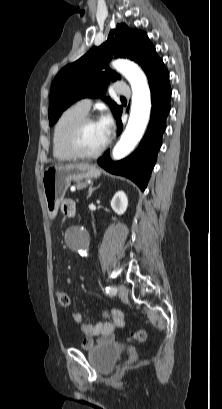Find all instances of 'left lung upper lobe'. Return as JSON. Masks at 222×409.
Returning <instances> with one entry per match:
<instances>
[{
  "label": "left lung upper lobe",
  "mask_w": 222,
  "mask_h": 409,
  "mask_svg": "<svg viewBox=\"0 0 222 409\" xmlns=\"http://www.w3.org/2000/svg\"><path fill=\"white\" fill-rule=\"evenodd\" d=\"M113 57L134 60L141 65L149 81L165 70L163 61L157 56L155 47L143 31L130 29L126 24H118L101 46L93 47L56 75L49 98L50 125L76 100L102 96L110 79L115 81L119 78V75L107 66ZM103 99L109 102L116 118L122 107L111 102L109 98Z\"/></svg>",
  "instance_id": "obj_1"
}]
</instances>
